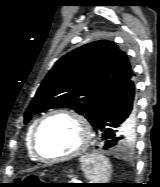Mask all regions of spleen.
<instances>
[{"instance_id":"1","label":"spleen","mask_w":160,"mask_h":187,"mask_svg":"<svg viewBox=\"0 0 160 187\" xmlns=\"http://www.w3.org/2000/svg\"><path fill=\"white\" fill-rule=\"evenodd\" d=\"M82 170L91 183H107L110 178L109 160L100 154H86L80 158Z\"/></svg>"}]
</instances>
